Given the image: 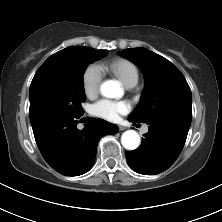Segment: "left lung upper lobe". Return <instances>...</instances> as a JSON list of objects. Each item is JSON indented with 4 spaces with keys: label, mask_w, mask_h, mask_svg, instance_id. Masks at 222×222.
<instances>
[{
    "label": "left lung upper lobe",
    "mask_w": 222,
    "mask_h": 222,
    "mask_svg": "<svg viewBox=\"0 0 222 222\" xmlns=\"http://www.w3.org/2000/svg\"><path fill=\"white\" fill-rule=\"evenodd\" d=\"M118 54L137 64L145 75L141 102L129 119L147 122L170 116L191 124V90L174 64L146 48L126 49Z\"/></svg>",
    "instance_id": "left-lung-upper-lobe-1"
}]
</instances>
